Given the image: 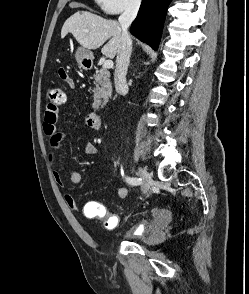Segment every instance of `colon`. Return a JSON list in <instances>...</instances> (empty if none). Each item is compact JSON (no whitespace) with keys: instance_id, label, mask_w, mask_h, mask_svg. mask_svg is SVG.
I'll use <instances>...</instances> for the list:
<instances>
[{"instance_id":"1","label":"colon","mask_w":249,"mask_h":294,"mask_svg":"<svg viewBox=\"0 0 249 294\" xmlns=\"http://www.w3.org/2000/svg\"><path fill=\"white\" fill-rule=\"evenodd\" d=\"M59 72L63 75L65 74L64 69H60ZM64 102V92L61 88L53 87L48 91V105L59 106Z\"/></svg>"}]
</instances>
